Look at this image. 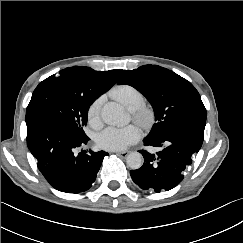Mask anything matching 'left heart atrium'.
Segmentation results:
<instances>
[{
    "instance_id": "39dd6f15",
    "label": "left heart atrium",
    "mask_w": 243,
    "mask_h": 243,
    "mask_svg": "<svg viewBox=\"0 0 243 243\" xmlns=\"http://www.w3.org/2000/svg\"><path fill=\"white\" fill-rule=\"evenodd\" d=\"M141 131L134 124L125 127H108L97 136L99 147L107 150H123L137 142Z\"/></svg>"
}]
</instances>
